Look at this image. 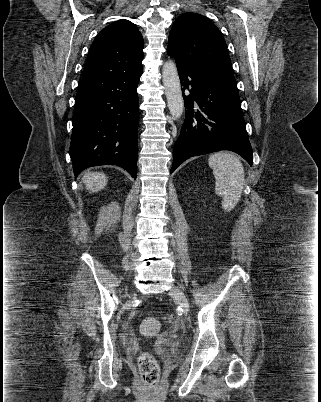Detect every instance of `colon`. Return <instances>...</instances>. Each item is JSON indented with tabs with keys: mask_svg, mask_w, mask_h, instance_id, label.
Masks as SVG:
<instances>
[{
	"mask_svg": "<svg viewBox=\"0 0 321 402\" xmlns=\"http://www.w3.org/2000/svg\"><path fill=\"white\" fill-rule=\"evenodd\" d=\"M159 330V322L155 318H146L140 324V331L144 335H153ZM138 369L146 384L155 386L160 377V368L155 357L150 353H143L138 359Z\"/></svg>",
	"mask_w": 321,
	"mask_h": 402,
	"instance_id": "1",
	"label": "colon"
}]
</instances>
